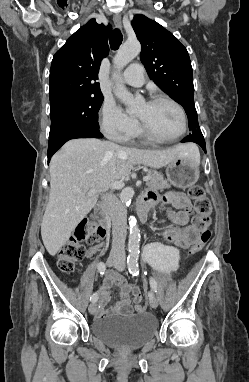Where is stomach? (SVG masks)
Here are the masks:
<instances>
[{"instance_id": "1", "label": "stomach", "mask_w": 249, "mask_h": 382, "mask_svg": "<svg viewBox=\"0 0 249 382\" xmlns=\"http://www.w3.org/2000/svg\"><path fill=\"white\" fill-rule=\"evenodd\" d=\"M199 163L192 156H178L166 168L168 181L175 187L188 188L194 185L200 175Z\"/></svg>"}]
</instances>
